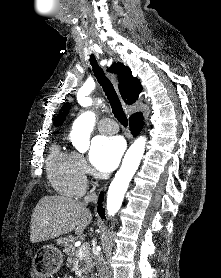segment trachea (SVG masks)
Instances as JSON below:
<instances>
[{"instance_id":"trachea-1","label":"trachea","mask_w":221,"mask_h":278,"mask_svg":"<svg viewBox=\"0 0 221 278\" xmlns=\"http://www.w3.org/2000/svg\"><path fill=\"white\" fill-rule=\"evenodd\" d=\"M90 64L93 69V73L98 81V83L102 86L105 95L111 105L112 112L116 119L124 126L127 127L128 119L125 115L119 97L110 82V80L106 77L103 69L98 65L94 54L90 55Z\"/></svg>"}]
</instances>
